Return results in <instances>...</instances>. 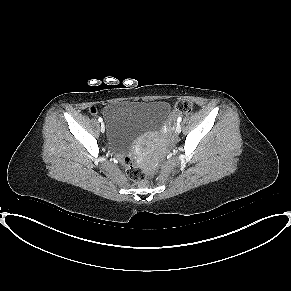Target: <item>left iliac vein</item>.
Returning <instances> with one entry per match:
<instances>
[{
    "instance_id": "obj_1",
    "label": "left iliac vein",
    "mask_w": 291,
    "mask_h": 291,
    "mask_svg": "<svg viewBox=\"0 0 291 291\" xmlns=\"http://www.w3.org/2000/svg\"><path fill=\"white\" fill-rule=\"evenodd\" d=\"M176 132L177 133H180L181 132V126H180V124H177L176 125Z\"/></svg>"
}]
</instances>
